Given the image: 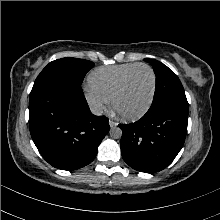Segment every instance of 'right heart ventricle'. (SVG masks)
<instances>
[{"label":"right heart ventricle","instance_id":"1","mask_svg":"<svg viewBox=\"0 0 220 220\" xmlns=\"http://www.w3.org/2000/svg\"><path fill=\"white\" fill-rule=\"evenodd\" d=\"M137 64L125 63L96 68L88 76V85L97 93L111 99L124 75Z\"/></svg>","mask_w":220,"mask_h":220}]
</instances>
